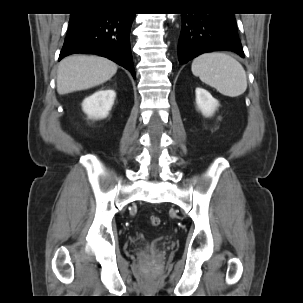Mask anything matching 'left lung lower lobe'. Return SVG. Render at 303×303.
<instances>
[{
  "mask_svg": "<svg viewBox=\"0 0 303 303\" xmlns=\"http://www.w3.org/2000/svg\"><path fill=\"white\" fill-rule=\"evenodd\" d=\"M178 60L185 64L198 55L228 50L244 57L234 14L224 12L182 14Z\"/></svg>",
  "mask_w": 303,
  "mask_h": 303,
  "instance_id": "left-lung-lower-lobe-1",
  "label": "left lung lower lobe"
}]
</instances>
